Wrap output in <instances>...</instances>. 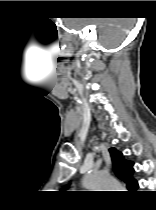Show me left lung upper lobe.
Listing matches in <instances>:
<instances>
[{"label": "left lung upper lobe", "instance_id": "obj_1", "mask_svg": "<svg viewBox=\"0 0 156 210\" xmlns=\"http://www.w3.org/2000/svg\"><path fill=\"white\" fill-rule=\"evenodd\" d=\"M109 152L112 158L113 170L116 176L126 183L129 190H135L138 188V182L132 177L134 172V163L126 161L122 153L115 148H110Z\"/></svg>", "mask_w": 156, "mask_h": 210}]
</instances>
